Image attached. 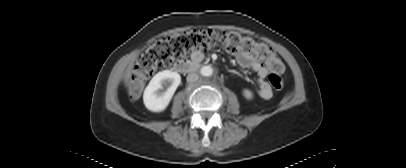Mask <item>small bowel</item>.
<instances>
[{
    "instance_id": "c3829d8e",
    "label": "small bowel",
    "mask_w": 406,
    "mask_h": 168,
    "mask_svg": "<svg viewBox=\"0 0 406 168\" xmlns=\"http://www.w3.org/2000/svg\"><path fill=\"white\" fill-rule=\"evenodd\" d=\"M237 66L241 70L252 69L257 73L258 88L256 90L258 96L262 99H269L272 97V89L266 81V76L269 72V67L263 64L252 55L243 53H234ZM193 60L200 61L203 58L201 51L193 53Z\"/></svg>"
}]
</instances>
